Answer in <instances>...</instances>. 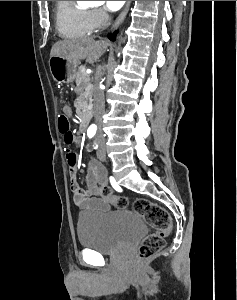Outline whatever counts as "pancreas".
<instances>
[{
	"mask_svg": "<svg viewBox=\"0 0 237 300\" xmlns=\"http://www.w3.org/2000/svg\"><path fill=\"white\" fill-rule=\"evenodd\" d=\"M92 79H90L89 75L86 73L85 67H78V71L75 77V83L77 87H90ZM88 97L83 93L80 97H77L76 101H74V107H76V113L80 119H88Z\"/></svg>",
	"mask_w": 237,
	"mask_h": 300,
	"instance_id": "1",
	"label": "pancreas"
}]
</instances>
